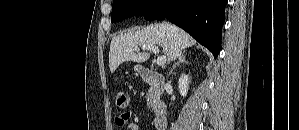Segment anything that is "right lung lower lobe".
<instances>
[{"label":"right lung lower lobe","instance_id":"obj_1","mask_svg":"<svg viewBox=\"0 0 299 130\" xmlns=\"http://www.w3.org/2000/svg\"><path fill=\"white\" fill-rule=\"evenodd\" d=\"M227 0H158L143 16L168 20L188 32L216 58L221 46V29Z\"/></svg>","mask_w":299,"mask_h":130}]
</instances>
